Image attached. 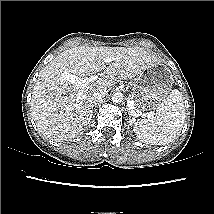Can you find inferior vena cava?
<instances>
[{
  "instance_id": "1",
  "label": "inferior vena cava",
  "mask_w": 214,
  "mask_h": 214,
  "mask_svg": "<svg viewBox=\"0 0 214 214\" xmlns=\"http://www.w3.org/2000/svg\"><path fill=\"white\" fill-rule=\"evenodd\" d=\"M107 94H108L107 88L101 87V88L95 90V91L91 94V96H90V101H91L92 103L100 102V101H102V100L105 98V96H106Z\"/></svg>"
}]
</instances>
